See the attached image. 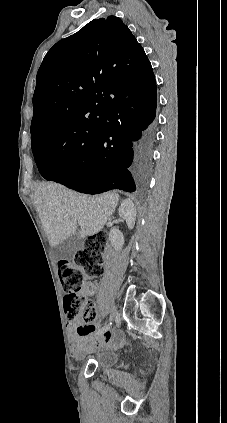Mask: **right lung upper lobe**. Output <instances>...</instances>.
<instances>
[{
  "label": "right lung upper lobe",
  "instance_id": "cb5924a9",
  "mask_svg": "<svg viewBox=\"0 0 227 423\" xmlns=\"http://www.w3.org/2000/svg\"><path fill=\"white\" fill-rule=\"evenodd\" d=\"M156 92L151 64L129 28L115 16L94 19L57 42L36 77L31 142L60 136L96 138L108 108Z\"/></svg>",
  "mask_w": 227,
  "mask_h": 423
}]
</instances>
